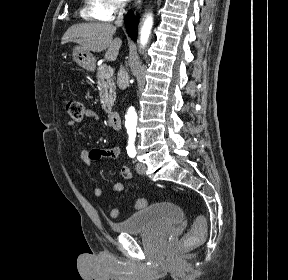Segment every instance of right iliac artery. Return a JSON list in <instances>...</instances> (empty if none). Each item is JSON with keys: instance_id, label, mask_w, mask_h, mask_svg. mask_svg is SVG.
<instances>
[{"instance_id": "1", "label": "right iliac artery", "mask_w": 288, "mask_h": 280, "mask_svg": "<svg viewBox=\"0 0 288 280\" xmlns=\"http://www.w3.org/2000/svg\"><path fill=\"white\" fill-rule=\"evenodd\" d=\"M127 153L130 157H135L136 155V149L133 143H129L127 146Z\"/></svg>"}]
</instances>
